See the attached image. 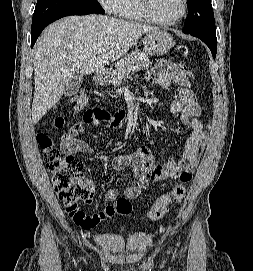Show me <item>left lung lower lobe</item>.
<instances>
[{
    "mask_svg": "<svg viewBox=\"0 0 253 271\" xmlns=\"http://www.w3.org/2000/svg\"><path fill=\"white\" fill-rule=\"evenodd\" d=\"M183 32L201 39L211 50L213 58L216 57V51H217L216 32H209V31H193V32L183 31Z\"/></svg>",
    "mask_w": 253,
    "mask_h": 271,
    "instance_id": "obj_1",
    "label": "left lung lower lobe"
}]
</instances>
